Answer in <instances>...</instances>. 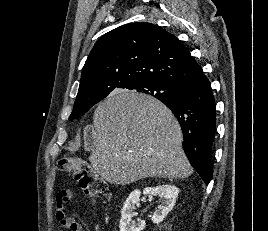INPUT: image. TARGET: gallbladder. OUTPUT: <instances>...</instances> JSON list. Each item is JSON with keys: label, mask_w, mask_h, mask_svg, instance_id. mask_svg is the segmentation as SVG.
Masks as SVG:
<instances>
[{"label": "gallbladder", "mask_w": 268, "mask_h": 231, "mask_svg": "<svg viewBox=\"0 0 268 231\" xmlns=\"http://www.w3.org/2000/svg\"><path fill=\"white\" fill-rule=\"evenodd\" d=\"M86 148H87L88 150H93V148H94V144H93V142L91 141L90 143H87Z\"/></svg>", "instance_id": "bac80fb5"}]
</instances>
